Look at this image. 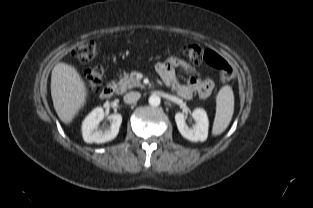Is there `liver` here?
Segmentation results:
<instances>
[{"label": "liver", "mask_w": 313, "mask_h": 208, "mask_svg": "<svg viewBox=\"0 0 313 208\" xmlns=\"http://www.w3.org/2000/svg\"><path fill=\"white\" fill-rule=\"evenodd\" d=\"M51 96L60 120L69 124L84 106L87 89L77 70L66 63L54 66L51 75Z\"/></svg>", "instance_id": "1"}]
</instances>
